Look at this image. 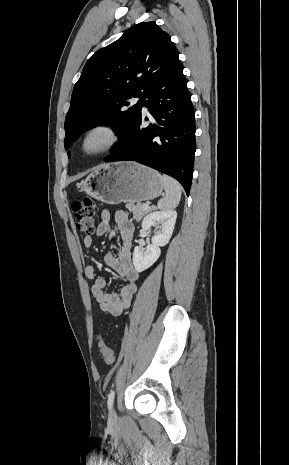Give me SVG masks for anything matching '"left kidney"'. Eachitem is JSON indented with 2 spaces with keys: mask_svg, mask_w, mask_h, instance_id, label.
Here are the masks:
<instances>
[{
  "mask_svg": "<svg viewBox=\"0 0 289 465\" xmlns=\"http://www.w3.org/2000/svg\"><path fill=\"white\" fill-rule=\"evenodd\" d=\"M177 218L176 211H156L146 215L142 221V231L147 232L155 227L152 244L145 248L136 246L133 252V264L137 272L151 267L161 254L160 247L168 244Z\"/></svg>",
  "mask_w": 289,
  "mask_h": 465,
  "instance_id": "1",
  "label": "left kidney"
}]
</instances>
